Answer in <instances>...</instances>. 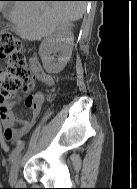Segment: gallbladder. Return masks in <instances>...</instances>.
<instances>
[{
    "label": "gallbladder",
    "instance_id": "bac80fb5",
    "mask_svg": "<svg viewBox=\"0 0 137 189\" xmlns=\"http://www.w3.org/2000/svg\"><path fill=\"white\" fill-rule=\"evenodd\" d=\"M14 8V6H13V4H12V2L10 3V4H6L5 6H4V10H3V12H4V14L6 15V17L9 19V15H10V12H11V10ZM10 20V19H9ZM12 25V27H14L13 26V24H11Z\"/></svg>",
    "mask_w": 137,
    "mask_h": 189
}]
</instances>
